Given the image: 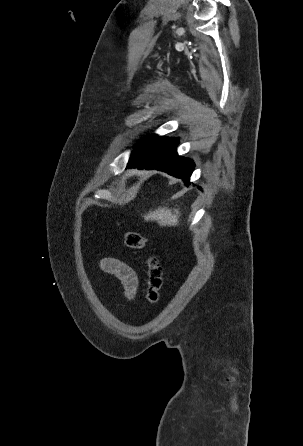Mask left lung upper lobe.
I'll return each instance as SVG.
<instances>
[{
    "instance_id": "obj_1",
    "label": "left lung upper lobe",
    "mask_w": 303,
    "mask_h": 446,
    "mask_svg": "<svg viewBox=\"0 0 303 446\" xmlns=\"http://www.w3.org/2000/svg\"><path fill=\"white\" fill-rule=\"evenodd\" d=\"M162 139H164V137L148 136L144 140H139V144L135 146V149L133 150L130 158L141 154L142 152H144L157 142L161 141Z\"/></svg>"
}]
</instances>
